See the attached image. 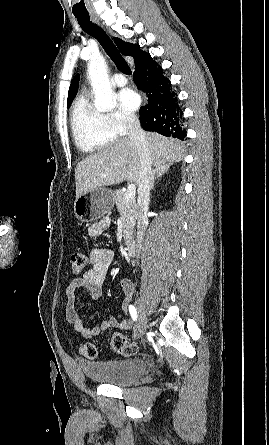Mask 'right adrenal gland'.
<instances>
[{"instance_id": "right-adrenal-gland-1", "label": "right adrenal gland", "mask_w": 269, "mask_h": 445, "mask_svg": "<svg viewBox=\"0 0 269 445\" xmlns=\"http://www.w3.org/2000/svg\"><path fill=\"white\" fill-rule=\"evenodd\" d=\"M170 168V165H164L159 168H155L152 171V183H151V189L153 190L155 180L161 178L165 173L168 172Z\"/></svg>"}]
</instances>
